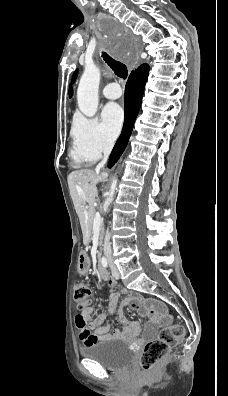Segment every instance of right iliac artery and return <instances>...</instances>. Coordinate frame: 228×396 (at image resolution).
<instances>
[{
    "instance_id": "obj_1",
    "label": "right iliac artery",
    "mask_w": 228,
    "mask_h": 396,
    "mask_svg": "<svg viewBox=\"0 0 228 396\" xmlns=\"http://www.w3.org/2000/svg\"><path fill=\"white\" fill-rule=\"evenodd\" d=\"M101 264L104 268H106L108 266V261L105 257H102Z\"/></svg>"
}]
</instances>
